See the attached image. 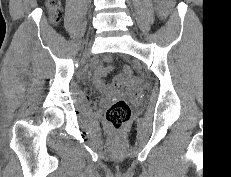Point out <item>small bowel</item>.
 <instances>
[{
    "label": "small bowel",
    "instance_id": "c3829d8e",
    "mask_svg": "<svg viewBox=\"0 0 231 177\" xmlns=\"http://www.w3.org/2000/svg\"><path fill=\"white\" fill-rule=\"evenodd\" d=\"M110 62V57H106L105 65L97 68L93 79L96 87L104 94H112L123 89H130L133 80H127L122 75L116 76L111 84L104 81V77L114 68Z\"/></svg>",
    "mask_w": 231,
    "mask_h": 177
}]
</instances>
